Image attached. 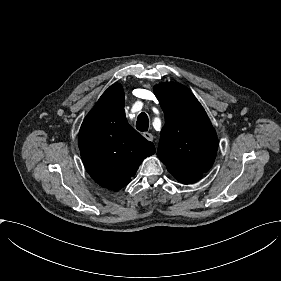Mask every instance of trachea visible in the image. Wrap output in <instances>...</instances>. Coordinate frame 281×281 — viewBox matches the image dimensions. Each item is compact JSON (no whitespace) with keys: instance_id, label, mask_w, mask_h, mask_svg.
Instances as JSON below:
<instances>
[{"instance_id":"trachea-1","label":"trachea","mask_w":281,"mask_h":281,"mask_svg":"<svg viewBox=\"0 0 281 281\" xmlns=\"http://www.w3.org/2000/svg\"><path fill=\"white\" fill-rule=\"evenodd\" d=\"M149 127V119L146 113H140L137 117L136 128L139 131L145 132Z\"/></svg>"}]
</instances>
